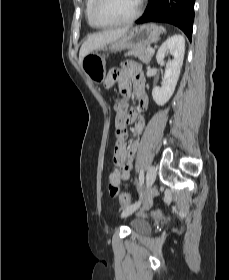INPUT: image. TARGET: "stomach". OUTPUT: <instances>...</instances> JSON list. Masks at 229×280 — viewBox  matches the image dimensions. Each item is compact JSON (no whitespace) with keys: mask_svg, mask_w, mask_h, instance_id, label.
I'll return each instance as SVG.
<instances>
[{"mask_svg":"<svg viewBox=\"0 0 229 280\" xmlns=\"http://www.w3.org/2000/svg\"><path fill=\"white\" fill-rule=\"evenodd\" d=\"M160 34L161 30L157 25L152 23L144 24L130 29L125 35L103 47L110 52L146 48L156 42ZM80 65L87 77L92 81L96 83L104 81L106 76L105 57L97 52H91L82 59Z\"/></svg>","mask_w":229,"mask_h":280,"instance_id":"stomach-1","label":"stomach"}]
</instances>
